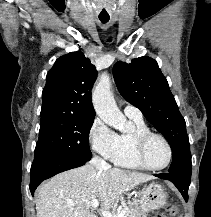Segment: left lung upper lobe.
I'll use <instances>...</instances> for the list:
<instances>
[{
    "label": "left lung upper lobe",
    "mask_w": 211,
    "mask_h": 217,
    "mask_svg": "<svg viewBox=\"0 0 211 217\" xmlns=\"http://www.w3.org/2000/svg\"><path fill=\"white\" fill-rule=\"evenodd\" d=\"M113 76L120 94L139 108L146 119L167 139L173 158L168 172L191 174V153L186 123L158 64L150 57L119 61Z\"/></svg>",
    "instance_id": "5c2ea615"
}]
</instances>
